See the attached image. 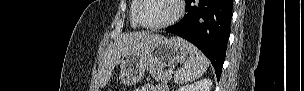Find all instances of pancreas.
<instances>
[{
	"instance_id": "cf45deb5",
	"label": "pancreas",
	"mask_w": 304,
	"mask_h": 91,
	"mask_svg": "<svg viewBox=\"0 0 304 91\" xmlns=\"http://www.w3.org/2000/svg\"><path fill=\"white\" fill-rule=\"evenodd\" d=\"M150 73L155 80L160 82L166 83L172 78V73L164 71L163 69L150 67Z\"/></svg>"
}]
</instances>
